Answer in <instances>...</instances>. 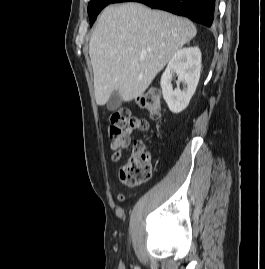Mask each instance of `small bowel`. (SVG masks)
Masks as SVG:
<instances>
[{
  "instance_id": "1",
  "label": "small bowel",
  "mask_w": 265,
  "mask_h": 269,
  "mask_svg": "<svg viewBox=\"0 0 265 269\" xmlns=\"http://www.w3.org/2000/svg\"><path fill=\"white\" fill-rule=\"evenodd\" d=\"M144 123H145V127L142 131H145L149 128L148 122L144 120ZM110 149L113 151L112 159L118 160L120 158L121 152L123 150V148L120 146L119 142L117 140H112V142L110 143ZM117 198L120 201L124 200V196L122 194H118Z\"/></svg>"
}]
</instances>
